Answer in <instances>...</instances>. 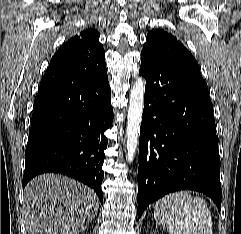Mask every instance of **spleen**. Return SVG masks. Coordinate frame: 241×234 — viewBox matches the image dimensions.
Listing matches in <instances>:
<instances>
[{
    "label": "spleen",
    "mask_w": 241,
    "mask_h": 234,
    "mask_svg": "<svg viewBox=\"0 0 241 234\" xmlns=\"http://www.w3.org/2000/svg\"><path fill=\"white\" fill-rule=\"evenodd\" d=\"M154 218L170 234H213L211 213L205 201L178 191L159 199Z\"/></svg>",
    "instance_id": "1"
}]
</instances>
